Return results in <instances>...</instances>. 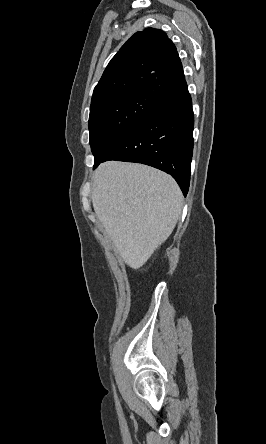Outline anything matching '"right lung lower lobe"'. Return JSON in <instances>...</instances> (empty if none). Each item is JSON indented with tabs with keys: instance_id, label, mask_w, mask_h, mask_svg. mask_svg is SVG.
I'll return each instance as SVG.
<instances>
[{
	"instance_id": "98d812e1",
	"label": "right lung lower lobe",
	"mask_w": 266,
	"mask_h": 444,
	"mask_svg": "<svg viewBox=\"0 0 266 444\" xmlns=\"http://www.w3.org/2000/svg\"><path fill=\"white\" fill-rule=\"evenodd\" d=\"M194 115L188 89L163 101L102 159L146 164L170 175L184 196L190 183ZM94 166V169L100 164Z\"/></svg>"
}]
</instances>
